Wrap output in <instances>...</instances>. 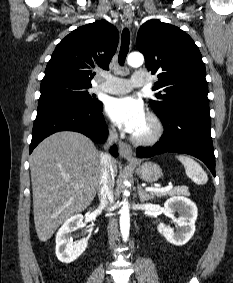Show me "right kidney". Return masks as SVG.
<instances>
[{"mask_svg": "<svg viewBox=\"0 0 233 283\" xmlns=\"http://www.w3.org/2000/svg\"><path fill=\"white\" fill-rule=\"evenodd\" d=\"M83 216L76 214L64 222L56 234V256L63 263L75 261L87 248L88 239L83 238L78 242H73L70 233L73 229L80 228Z\"/></svg>", "mask_w": 233, "mask_h": 283, "instance_id": "right-kidney-1", "label": "right kidney"}]
</instances>
